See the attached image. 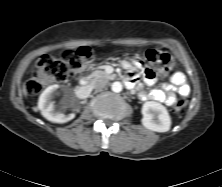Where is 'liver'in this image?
Segmentation results:
<instances>
[{
  "label": "liver",
  "instance_id": "obj_1",
  "mask_svg": "<svg viewBox=\"0 0 222 187\" xmlns=\"http://www.w3.org/2000/svg\"><path fill=\"white\" fill-rule=\"evenodd\" d=\"M23 94L25 96H27V89H26V85L25 84H23Z\"/></svg>",
  "mask_w": 222,
  "mask_h": 187
}]
</instances>
